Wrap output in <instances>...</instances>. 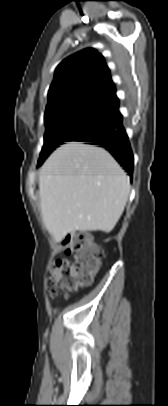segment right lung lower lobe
Segmentation results:
<instances>
[{
    "mask_svg": "<svg viewBox=\"0 0 168 406\" xmlns=\"http://www.w3.org/2000/svg\"><path fill=\"white\" fill-rule=\"evenodd\" d=\"M118 99L111 105L114 112V119L107 125L76 140L88 142L105 148L124 167L132 178L133 175V154L129 144L128 136L122 125V115L118 110Z\"/></svg>",
    "mask_w": 168,
    "mask_h": 406,
    "instance_id": "1",
    "label": "right lung lower lobe"
}]
</instances>
